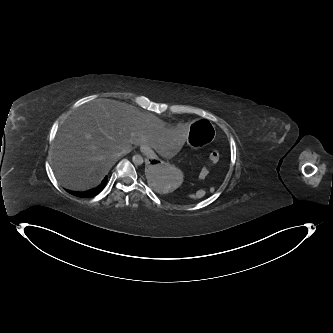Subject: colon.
Returning a JSON list of instances; mask_svg holds the SVG:
<instances>
[{
  "mask_svg": "<svg viewBox=\"0 0 333 333\" xmlns=\"http://www.w3.org/2000/svg\"><path fill=\"white\" fill-rule=\"evenodd\" d=\"M220 158V153L217 151V150H214L210 153V156H209V163L211 165H215L218 160ZM209 172V169L208 167H204L201 171H200V177L201 178H204L205 176H207Z\"/></svg>",
  "mask_w": 333,
  "mask_h": 333,
  "instance_id": "1",
  "label": "colon"
}]
</instances>
